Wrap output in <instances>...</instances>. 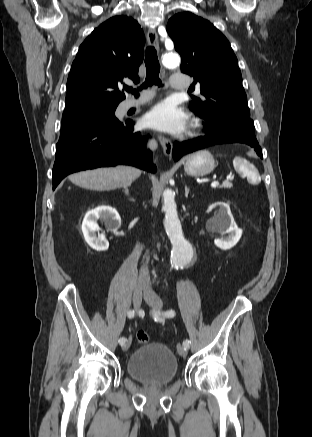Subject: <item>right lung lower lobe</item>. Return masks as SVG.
<instances>
[{"mask_svg":"<svg viewBox=\"0 0 312 437\" xmlns=\"http://www.w3.org/2000/svg\"><path fill=\"white\" fill-rule=\"evenodd\" d=\"M133 126V121H118L59 139L53 189L67 175L96 167L128 164L155 172L152 152L145 148L148 137L134 133Z\"/></svg>","mask_w":312,"mask_h":437,"instance_id":"obj_1","label":"right lung lower lobe"}]
</instances>
